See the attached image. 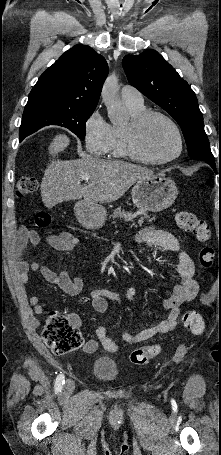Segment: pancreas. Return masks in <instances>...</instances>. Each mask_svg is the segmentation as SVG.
<instances>
[{"instance_id":"1","label":"pancreas","mask_w":221,"mask_h":455,"mask_svg":"<svg viewBox=\"0 0 221 455\" xmlns=\"http://www.w3.org/2000/svg\"><path fill=\"white\" fill-rule=\"evenodd\" d=\"M137 215H142V217L138 220V224L142 225L144 220H147L148 222H152L155 220L154 217L150 218V215L146 211H143L141 213H138ZM135 214H132L130 211H125L124 209H121V207L114 209L113 213L110 215V218L112 219H118L120 218L121 220L124 221H132L134 218ZM131 226H135V223H132Z\"/></svg>"}]
</instances>
